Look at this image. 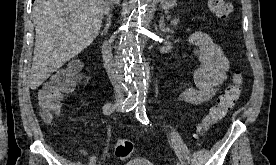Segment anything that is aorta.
I'll return each mask as SVG.
<instances>
[{
	"instance_id": "1",
	"label": "aorta",
	"mask_w": 276,
	"mask_h": 165,
	"mask_svg": "<svg viewBox=\"0 0 276 165\" xmlns=\"http://www.w3.org/2000/svg\"><path fill=\"white\" fill-rule=\"evenodd\" d=\"M149 2L150 0H134V10L118 44L117 69L128 93V100L134 102H144L146 98L148 65L142 49L147 30L145 10Z\"/></svg>"
}]
</instances>
